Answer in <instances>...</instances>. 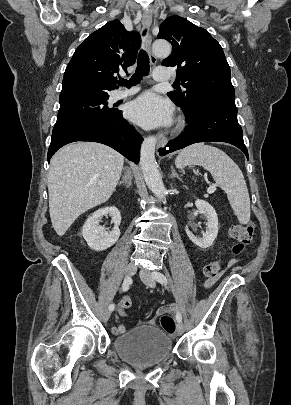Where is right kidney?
<instances>
[{
	"mask_svg": "<svg viewBox=\"0 0 291 405\" xmlns=\"http://www.w3.org/2000/svg\"><path fill=\"white\" fill-rule=\"evenodd\" d=\"M112 216L114 227L111 232H107L104 226H100L104 215ZM121 223V214L116 207H105L95 211L85 222L82 235L88 246L95 251H102L114 245L120 237L119 225Z\"/></svg>",
	"mask_w": 291,
	"mask_h": 405,
	"instance_id": "right-kidney-1",
	"label": "right kidney"
}]
</instances>
